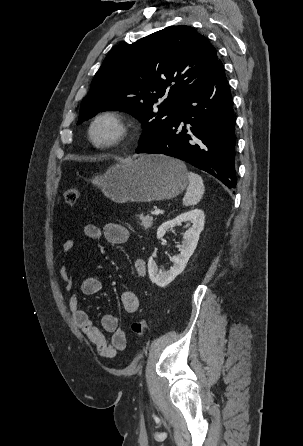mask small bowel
Instances as JSON below:
<instances>
[{"label": "small bowel", "instance_id": "obj_1", "mask_svg": "<svg viewBox=\"0 0 303 446\" xmlns=\"http://www.w3.org/2000/svg\"><path fill=\"white\" fill-rule=\"evenodd\" d=\"M84 236L87 241H99L102 237L112 245H121L127 242L130 236L129 230L122 224L110 222L102 229L94 224L84 226ZM75 242L67 238L62 243L64 254L70 253L74 248ZM134 273L137 278H143L146 275L147 267L144 259L137 258L133 263ZM60 277L66 290L70 291L73 287V281L66 265L60 269ZM102 288L100 279L96 276H88L83 279L80 285V291L83 295H94ZM121 303L124 310L128 313H134L139 308V299L135 292L126 290L121 295ZM69 309L72 313L74 323L88 340L95 346L97 352L106 358L115 357L118 351H122L127 346V336L125 331L119 326L117 318L112 314H105L101 318V329L94 326L88 313L80 307L77 294H72L69 299ZM103 332L110 333L106 338Z\"/></svg>", "mask_w": 303, "mask_h": 446}]
</instances>
